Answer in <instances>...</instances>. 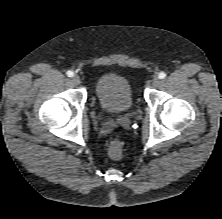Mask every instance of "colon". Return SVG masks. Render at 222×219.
Listing matches in <instances>:
<instances>
[{"mask_svg":"<svg viewBox=\"0 0 222 219\" xmlns=\"http://www.w3.org/2000/svg\"><path fill=\"white\" fill-rule=\"evenodd\" d=\"M123 154V143L118 139L110 141L108 146V155L111 159L118 160Z\"/></svg>","mask_w":222,"mask_h":219,"instance_id":"colon-1","label":"colon"}]
</instances>
